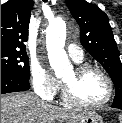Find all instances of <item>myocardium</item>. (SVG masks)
Listing matches in <instances>:
<instances>
[{"label":"myocardium","instance_id":"obj_1","mask_svg":"<svg viewBox=\"0 0 122 123\" xmlns=\"http://www.w3.org/2000/svg\"><path fill=\"white\" fill-rule=\"evenodd\" d=\"M91 70L97 71L106 80V82L108 84V88H109L107 97L104 100H102L101 102H97V103L85 102L76 96V94L74 93V90L70 84L63 81L62 95L66 102H68L71 105L85 107V108H99V107L106 105L112 99L113 94H114V84H113L111 77L104 69H102L101 67H99L97 65H93V64H89V63H82V64H78L75 67L74 72H75L76 76L79 78L83 74H85L86 72L91 71Z\"/></svg>","mask_w":122,"mask_h":123}]
</instances>
